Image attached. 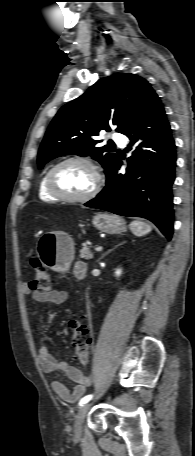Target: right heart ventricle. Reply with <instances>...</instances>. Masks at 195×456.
Listing matches in <instances>:
<instances>
[{"label": "right heart ventricle", "mask_w": 195, "mask_h": 456, "mask_svg": "<svg viewBox=\"0 0 195 456\" xmlns=\"http://www.w3.org/2000/svg\"><path fill=\"white\" fill-rule=\"evenodd\" d=\"M47 173H48V171L43 174V176L41 177V179L39 181L38 195H39L40 199L43 201L53 202V201H56L57 199L54 196H52L47 190V187H46Z\"/></svg>", "instance_id": "e07e8e85"}]
</instances>
